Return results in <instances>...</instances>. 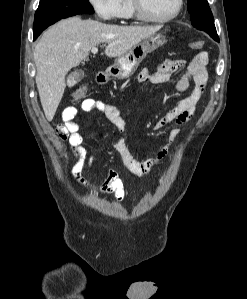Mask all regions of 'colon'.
Wrapping results in <instances>:
<instances>
[{
	"instance_id": "5ec220e1",
	"label": "colon",
	"mask_w": 247,
	"mask_h": 299,
	"mask_svg": "<svg viewBox=\"0 0 247 299\" xmlns=\"http://www.w3.org/2000/svg\"><path fill=\"white\" fill-rule=\"evenodd\" d=\"M203 41L198 40V41H192L189 44V47L193 50H200L203 47ZM87 93V87L85 85H79L75 89L72 90L71 92V97L79 101L85 97Z\"/></svg>"
}]
</instances>
